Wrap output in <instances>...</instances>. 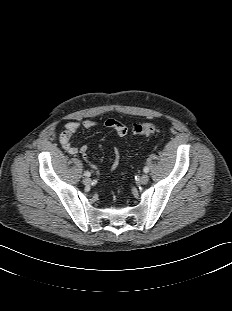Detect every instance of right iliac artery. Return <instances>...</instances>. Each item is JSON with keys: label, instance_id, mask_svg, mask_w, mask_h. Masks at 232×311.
Returning a JSON list of instances; mask_svg holds the SVG:
<instances>
[{"label": "right iliac artery", "instance_id": "right-iliac-artery-1", "mask_svg": "<svg viewBox=\"0 0 232 311\" xmlns=\"http://www.w3.org/2000/svg\"><path fill=\"white\" fill-rule=\"evenodd\" d=\"M84 175L89 177L90 176V172L86 171V172H84Z\"/></svg>", "mask_w": 232, "mask_h": 311}]
</instances>
